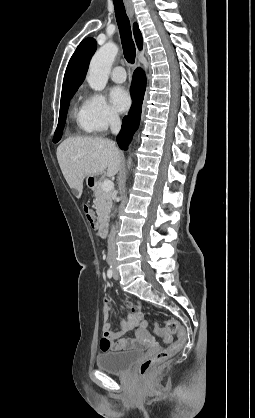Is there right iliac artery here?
Here are the masks:
<instances>
[{
  "label": "right iliac artery",
  "instance_id": "1",
  "mask_svg": "<svg viewBox=\"0 0 255 418\" xmlns=\"http://www.w3.org/2000/svg\"><path fill=\"white\" fill-rule=\"evenodd\" d=\"M107 276H108V278H112V276H113V270L111 268L108 269Z\"/></svg>",
  "mask_w": 255,
  "mask_h": 418
}]
</instances>
